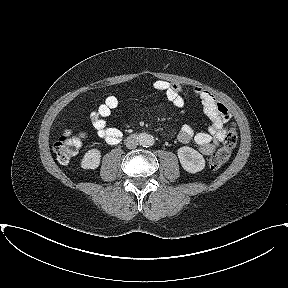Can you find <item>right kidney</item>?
<instances>
[{
  "instance_id": "ca27d5eb",
  "label": "right kidney",
  "mask_w": 288,
  "mask_h": 288,
  "mask_svg": "<svg viewBox=\"0 0 288 288\" xmlns=\"http://www.w3.org/2000/svg\"><path fill=\"white\" fill-rule=\"evenodd\" d=\"M101 153L98 149H91L85 153L81 167L83 169H96L100 164Z\"/></svg>"
}]
</instances>
